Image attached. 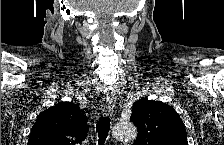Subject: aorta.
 Returning <instances> with one entry per match:
<instances>
[{
  "instance_id": "aorta-1",
  "label": "aorta",
  "mask_w": 224,
  "mask_h": 145,
  "mask_svg": "<svg viewBox=\"0 0 224 145\" xmlns=\"http://www.w3.org/2000/svg\"><path fill=\"white\" fill-rule=\"evenodd\" d=\"M112 136L118 141H132L137 136V130L133 123H117L112 131Z\"/></svg>"
}]
</instances>
